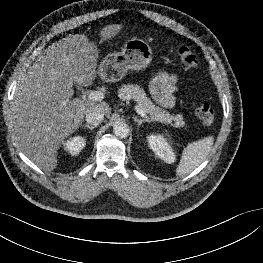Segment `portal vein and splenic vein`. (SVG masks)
Returning a JSON list of instances; mask_svg holds the SVG:
<instances>
[{
    "instance_id": "1",
    "label": "portal vein and splenic vein",
    "mask_w": 263,
    "mask_h": 263,
    "mask_svg": "<svg viewBox=\"0 0 263 263\" xmlns=\"http://www.w3.org/2000/svg\"><path fill=\"white\" fill-rule=\"evenodd\" d=\"M87 97L92 101H101L104 99V94L101 91H92L87 95ZM135 110L140 116L147 118L145 112H143L139 106H135Z\"/></svg>"
}]
</instances>
